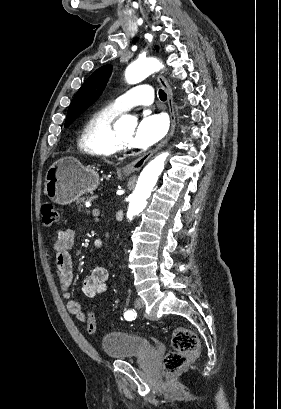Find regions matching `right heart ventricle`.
<instances>
[{"label":"right heart ventricle","instance_id":"e07e8e85","mask_svg":"<svg viewBox=\"0 0 281 409\" xmlns=\"http://www.w3.org/2000/svg\"><path fill=\"white\" fill-rule=\"evenodd\" d=\"M117 111L102 108L94 112L86 121L83 129V148L96 158H109L114 155L111 148L110 136Z\"/></svg>","mask_w":281,"mask_h":409}]
</instances>
